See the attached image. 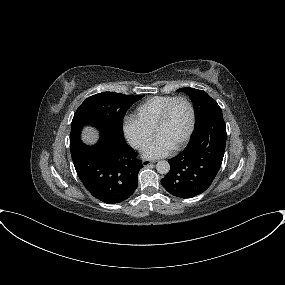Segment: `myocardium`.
<instances>
[{"mask_svg": "<svg viewBox=\"0 0 285 285\" xmlns=\"http://www.w3.org/2000/svg\"><path fill=\"white\" fill-rule=\"evenodd\" d=\"M178 101H183L187 104V106L190 110V125H189L188 131H187L185 137L182 139V141L179 144H177L176 146L173 147V150H180L181 148H183L188 143V141L190 140V138L194 132L195 124H196V113H195V108H194L192 102L185 96L174 97L162 110V112H161L160 116L158 117L157 122L154 126V129H153V132L156 135L159 128L167 120V117L170 113L172 106Z\"/></svg>", "mask_w": 285, "mask_h": 285, "instance_id": "obj_1", "label": "myocardium"}]
</instances>
